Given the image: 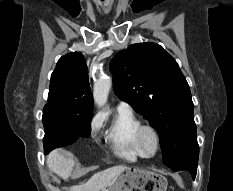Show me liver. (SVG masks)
Masks as SVG:
<instances>
[{
  "label": "liver",
  "instance_id": "1",
  "mask_svg": "<svg viewBox=\"0 0 233 191\" xmlns=\"http://www.w3.org/2000/svg\"><path fill=\"white\" fill-rule=\"evenodd\" d=\"M75 160L73 155L65 154L62 150H55L47 157V167L64 180L70 177ZM126 166H114L94 174L87 182L72 186L69 191H101L126 169Z\"/></svg>",
  "mask_w": 233,
  "mask_h": 191
}]
</instances>
